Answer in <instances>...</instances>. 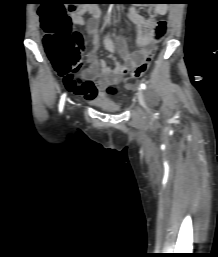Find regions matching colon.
<instances>
[{"label":"colon","mask_w":218,"mask_h":257,"mask_svg":"<svg viewBox=\"0 0 218 257\" xmlns=\"http://www.w3.org/2000/svg\"><path fill=\"white\" fill-rule=\"evenodd\" d=\"M65 10L73 12L77 10V5H44L39 15L44 32L43 43L49 59L60 76L71 80L83 64V38L79 32L72 30L71 19ZM150 60L151 54L132 70L129 87L145 74ZM104 93L109 94V98H118L123 90L115 83H106Z\"/></svg>","instance_id":"5ec220e1"}]
</instances>
